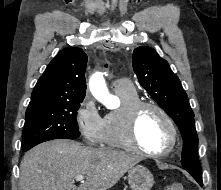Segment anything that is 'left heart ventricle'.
I'll use <instances>...</instances> for the list:
<instances>
[{
  "label": "left heart ventricle",
  "instance_id": "left-heart-ventricle-1",
  "mask_svg": "<svg viewBox=\"0 0 221 190\" xmlns=\"http://www.w3.org/2000/svg\"><path fill=\"white\" fill-rule=\"evenodd\" d=\"M136 136L145 149L160 151L170 142V130L164 118L154 109L145 108L138 116Z\"/></svg>",
  "mask_w": 221,
  "mask_h": 190
}]
</instances>
